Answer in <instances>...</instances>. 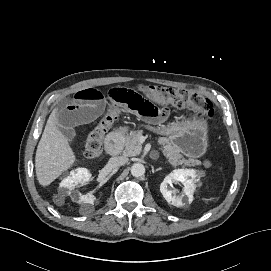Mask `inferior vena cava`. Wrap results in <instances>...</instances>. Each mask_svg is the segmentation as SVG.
<instances>
[{
  "label": "inferior vena cava",
  "mask_w": 271,
  "mask_h": 271,
  "mask_svg": "<svg viewBox=\"0 0 271 271\" xmlns=\"http://www.w3.org/2000/svg\"><path fill=\"white\" fill-rule=\"evenodd\" d=\"M127 162H128V158L123 157V156H118V157H111L108 161V164L112 168H116V167L126 164Z\"/></svg>",
  "instance_id": "inferior-vena-cava-1"
}]
</instances>
